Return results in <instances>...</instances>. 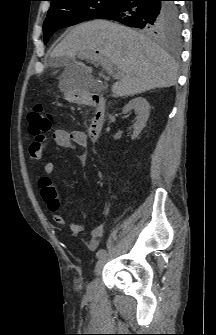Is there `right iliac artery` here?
Here are the masks:
<instances>
[{
  "label": "right iliac artery",
  "mask_w": 216,
  "mask_h": 335,
  "mask_svg": "<svg viewBox=\"0 0 216 335\" xmlns=\"http://www.w3.org/2000/svg\"><path fill=\"white\" fill-rule=\"evenodd\" d=\"M105 250L104 249H100V250H98V252L96 253V257L97 258H100V257H102L104 254H105Z\"/></svg>",
  "instance_id": "obj_1"
}]
</instances>
